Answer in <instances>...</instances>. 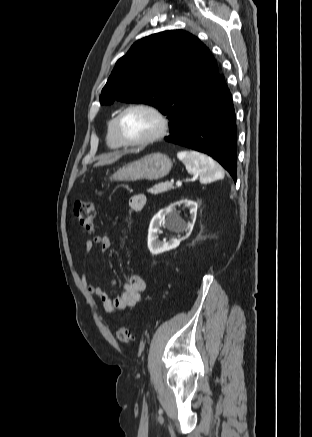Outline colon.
<instances>
[{"label": "colon", "mask_w": 312, "mask_h": 437, "mask_svg": "<svg viewBox=\"0 0 312 437\" xmlns=\"http://www.w3.org/2000/svg\"><path fill=\"white\" fill-rule=\"evenodd\" d=\"M74 213L81 227L87 231H92L95 223V208L91 202L78 201L74 204ZM117 339L124 344L133 341V335L128 327H119L116 330Z\"/></svg>", "instance_id": "obj_1"}]
</instances>
